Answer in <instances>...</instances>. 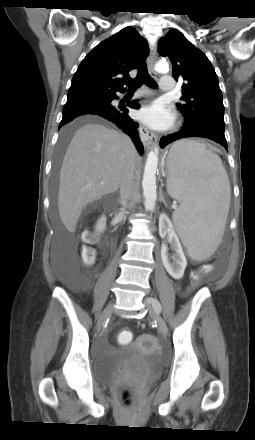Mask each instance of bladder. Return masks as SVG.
Listing matches in <instances>:
<instances>
[{"label": "bladder", "mask_w": 255, "mask_h": 440, "mask_svg": "<svg viewBox=\"0 0 255 440\" xmlns=\"http://www.w3.org/2000/svg\"><path fill=\"white\" fill-rule=\"evenodd\" d=\"M146 347V341L138 339L132 345L115 349L95 359L94 374L97 381L109 385L128 367L142 371L150 379L158 377L161 371L159 355L148 351Z\"/></svg>", "instance_id": "31cf9c89"}]
</instances>
